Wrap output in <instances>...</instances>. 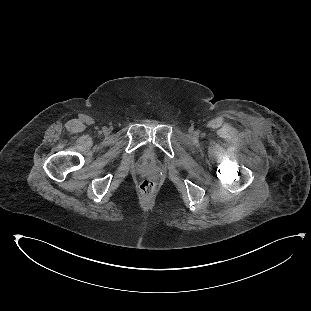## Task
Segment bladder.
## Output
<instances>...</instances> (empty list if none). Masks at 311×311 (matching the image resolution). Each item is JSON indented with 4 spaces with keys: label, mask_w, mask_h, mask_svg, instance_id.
Returning a JSON list of instances; mask_svg holds the SVG:
<instances>
[{
    "label": "bladder",
    "mask_w": 311,
    "mask_h": 311,
    "mask_svg": "<svg viewBox=\"0 0 311 311\" xmlns=\"http://www.w3.org/2000/svg\"><path fill=\"white\" fill-rule=\"evenodd\" d=\"M154 145L152 143L146 144V151L142 154V160L144 162H150L154 160L155 157V150Z\"/></svg>",
    "instance_id": "31cf9c89"
}]
</instances>
